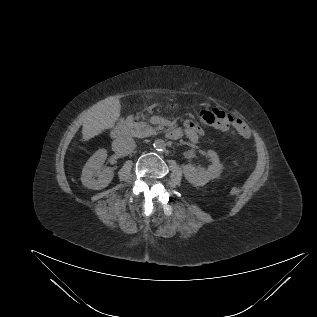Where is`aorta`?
I'll return each mask as SVG.
<instances>
[{
	"mask_svg": "<svg viewBox=\"0 0 317 317\" xmlns=\"http://www.w3.org/2000/svg\"><path fill=\"white\" fill-rule=\"evenodd\" d=\"M153 145L156 150L161 151L165 148L166 143L163 139H156Z\"/></svg>",
	"mask_w": 317,
	"mask_h": 317,
	"instance_id": "aorta-1",
	"label": "aorta"
}]
</instances>
